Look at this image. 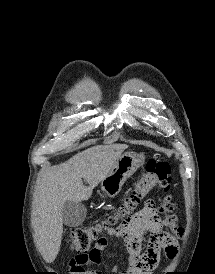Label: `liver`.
Returning a JSON list of instances; mask_svg holds the SVG:
<instances>
[{
  "mask_svg": "<svg viewBox=\"0 0 215 274\" xmlns=\"http://www.w3.org/2000/svg\"><path fill=\"white\" fill-rule=\"evenodd\" d=\"M127 148L124 144L94 146L42 175L35 191L32 226L36 245L47 263L55 260L60 249L65 202L88 200L94 187L109 175ZM82 179L87 181L88 187Z\"/></svg>",
  "mask_w": 215,
  "mask_h": 274,
  "instance_id": "6515ba94",
  "label": "liver"
}]
</instances>
